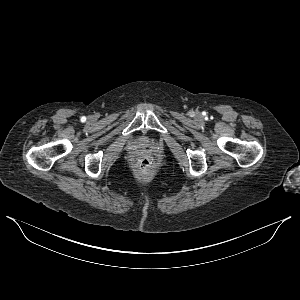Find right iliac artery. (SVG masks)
<instances>
[{"label":"right iliac artery","instance_id":"1","mask_svg":"<svg viewBox=\"0 0 300 300\" xmlns=\"http://www.w3.org/2000/svg\"><path fill=\"white\" fill-rule=\"evenodd\" d=\"M82 120H86V118H85V117H82Z\"/></svg>","mask_w":300,"mask_h":300}]
</instances>
